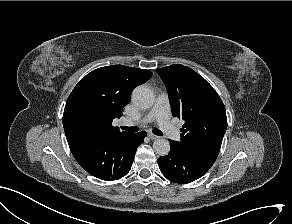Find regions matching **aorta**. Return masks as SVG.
<instances>
[{
	"label": "aorta",
	"instance_id": "aorta-1",
	"mask_svg": "<svg viewBox=\"0 0 292 224\" xmlns=\"http://www.w3.org/2000/svg\"><path fill=\"white\" fill-rule=\"evenodd\" d=\"M133 102L144 109H148L154 104V94L151 89L144 85L136 87L132 93ZM153 149L160 156L168 155L170 143L168 140L159 138L153 142Z\"/></svg>",
	"mask_w": 292,
	"mask_h": 224
}]
</instances>
